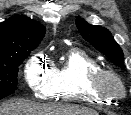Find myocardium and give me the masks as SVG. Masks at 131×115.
Wrapping results in <instances>:
<instances>
[{"instance_id":"obj_1","label":"myocardium","mask_w":131,"mask_h":115,"mask_svg":"<svg viewBox=\"0 0 131 115\" xmlns=\"http://www.w3.org/2000/svg\"><path fill=\"white\" fill-rule=\"evenodd\" d=\"M88 86L94 92L111 98L124 94V85L120 77L114 72L102 68L91 72Z\"/></svg>"}]
</instances>
